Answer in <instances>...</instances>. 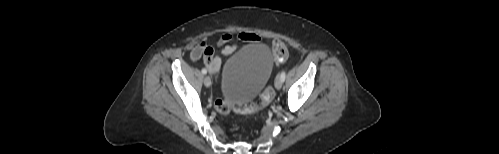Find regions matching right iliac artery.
Segmentation results:
<instances>
[{
	"label": "right iliac artery",
	"mask_w": 499,
	"mask_h": 154,
	"mask_svg": "<svg viewBox=\"0 0 499 154\" xmlns=\"http://www.w3.org/2000/svg\"><path fill=\"white\" fill-rule=\"evenodd\" d=\"M202 73H203V74H206V73H207V70H206V69H202Z\"/></svg>",
	"instance_id": "right-iliac-artery-1"
}]
</instances>
